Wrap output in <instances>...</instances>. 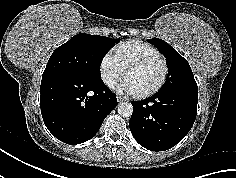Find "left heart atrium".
I'll return each instance as SVG.
<instances>
[{"label":"left heart atrium","mask_w":236,"mask_h":178,"mask_svg":"<svg viewBox=\"0 0 236 178\" xmlns=\"http://www.w3.org/2000/svg\"><path fill=\"white\" fill-rule=\"evenodd\" d=\"M115 90L120 94H127V95L138 94L136 89L127 79H124L118 85H116Z\"/></svg>","instance_id":"obj_1"}]
</instances>
